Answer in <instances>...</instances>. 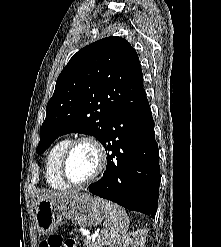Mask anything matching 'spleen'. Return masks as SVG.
<instances>
[{"label":"spleen","instance_id":"obj_1","mask_svg":"<svg viewBox=\"0 0 221 247\" xmlns=\"http://www.w3.org/2000/svg\"><path fill=\"white\" fill-rule=\"evenodd\" d=\"M105 209V229L98 236L100 247L119 243L127 234L129 217L126 211L120 206L106 201Z\"/></svg>","mask_w":221,"mask_h":247}]
</instances>
